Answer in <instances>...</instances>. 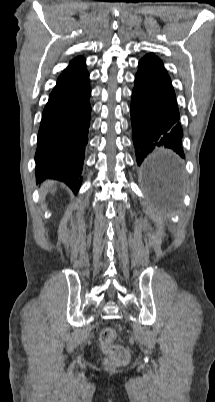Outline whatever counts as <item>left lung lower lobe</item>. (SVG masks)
Masks as SVG:
<instances>
[{"label":"left lung lower lobe","mask_w":215,"mask_h":402,"mask_svg":"<svg viewBox=\"0 0 215 402\" xmlns=\"http://www.w3.org/2000/svg\"><path fill=\"white\" fill-rule=\"evenodd\" d=\"M131 123L139 166L148 155L162 148L185 157L175 92L159 59L145 56L139 61L132 92ZM144 165L149 177L158 178L154 161Z\"/></svg>","instance_id":"obj_1"}]
</instances>
